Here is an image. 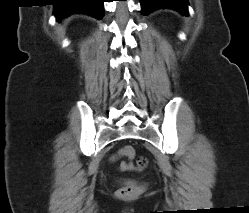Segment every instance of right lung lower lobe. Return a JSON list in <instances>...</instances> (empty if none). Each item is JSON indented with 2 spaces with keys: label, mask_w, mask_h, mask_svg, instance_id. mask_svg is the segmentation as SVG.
<instances>
[{
  "label": "right lung lower lobe",
  "mask_w": 249,
  "mask_h": 213,
  "mask_svg": "<svg viewBox=\"0 0 249 213\" xmlns=\"http://www.w3.org/2000/svg\"><path fill=\"white\" fill-rule=\"evenodd\" d=\"M54 14L58 17L74 12L86 13L98 19L103 17L104 0H56Z\"/></svg>",
  "instance_id": "98d812e1"
}]
</instances>
